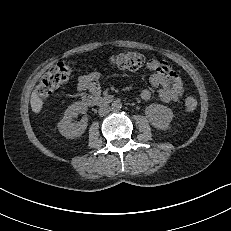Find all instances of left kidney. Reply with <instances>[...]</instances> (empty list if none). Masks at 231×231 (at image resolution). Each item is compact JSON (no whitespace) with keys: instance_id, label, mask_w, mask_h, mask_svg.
I'll return each mask as SVG.
<instances>
[{"instance_id":"5707ae66","label":"left kidney","mask_w":231,"mask_h":231,"mask_svg":"<svg viewBox=\"0 0 231 231\" xmlns=\"http://www.w3.org/2000/svg\"><path fill=\"white\" fill-rule=\"evenodd\" d=\"M145 115L152 126L161 130H166L173 118L172 110L161 104L149 105L145 109Z\"/></svg>"}]
</instances>
